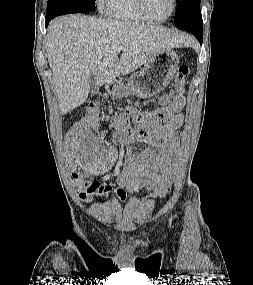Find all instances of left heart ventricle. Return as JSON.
<instances>
[{"label":"left heart ventricle","instance_id":"1","mask_svg":"<svg viewBox=\"0 0 253 285\" xmlns=\"http://www.w3.org/2000/svg\"><path fill=\"white\" fill-rule=\"evenodd\" d=\"M147 10L155 18H165L172 9V0H146Z\"/></svg>","mask_w":253,"mask_h":285}]
</instances>
